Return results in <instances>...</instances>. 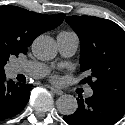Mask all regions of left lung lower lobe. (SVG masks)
Instances as JSON below:
<instances>
[{
    "mask_svg": "<svg viewBox=\"0 0 125 125\" xmlns=\"http://www.w3.org/2000/svg\"><path fill=\"white\" fill-rule=\"evenodd\" d=\"M90 98L77 99L78 109L63 119L69 125H114L125 114V90L93 89Z\"/></svg>",
    "mask_w": 125,
    "mask_h": 125,
    "instance_id": "0a47b994",
    "label": "left lung lower lobe"
}]
</instances>
